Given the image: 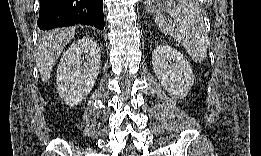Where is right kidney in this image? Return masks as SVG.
I'll list each match as a JSON object with an SVG mask.
<instances>
[{"mask_svg": "<svg viewBox=\"0 0 261 156\" xmlns=\"http://www.w3.org/2000/svg\"><path fill=\"white\" fill-rule=\"evenodd\" d=\"M100 57L99 46L89 37L74 42L63 54L57 69V89L66 104L77 105L88 96L99 74Z\"/></svg>", "mask_w": 261, "mask_h": 156, "instance_id": "right-kidney-1", "label": "right kidney"}]
</instances>
